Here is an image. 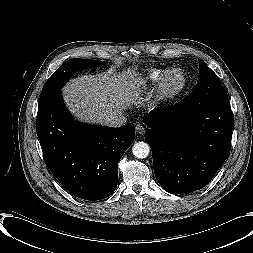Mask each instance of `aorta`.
<instances>
[{
  "mask_svg": "<svg viewBox=\"0 0 253 253\" xmlns=\"http://www.w3.org/2000/svg\"><path fill=\"white\" fill-rule=\"evenodd\" d=\"M132 153L135 157L143 159L150 153V147L146 142H136L132 147Z\"/></svg>",
  "mask_w": 253,
  "mask_h": 253,
  "instance_id": "obj_1",
  "label": "aorta"
}]
</instances>
